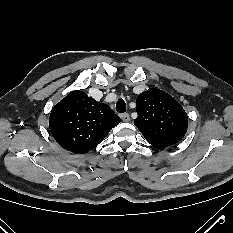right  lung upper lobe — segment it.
Returning <instances> with one entry per match:
<instances>
[{"mask_svg": "<svg viewBox=\"0 0 233 233\" xmlns=\"http://www.w3.org/2000/svg\"><path fill=\"white\" fill-rule=\"evenodd\" d=\"M119 123L108 105L75 90L54 106L49 129L64 149L82 154L94 149Z\"/></svg>", "mask_w": 233, "mask_h": 233, "instance_id": "1", "label": "right lung upper lobe"}]
</instances>
